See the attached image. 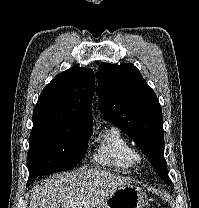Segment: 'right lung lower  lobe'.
Instances as JSON below:
<instances>
[{"mask_svg":"<svg viewBox=\"0 0 199 208\" xmlns=\"http://www.w3.org/2000/svg\"><path fill=\"white\" fill-rule=\"evenodd\" d=\"M31 182H27V185H29Z\"/></svg>","mask_w":199,"mask_h":208,"instance_id":"1","label":"right lung lower lobe"}]
</instances>
